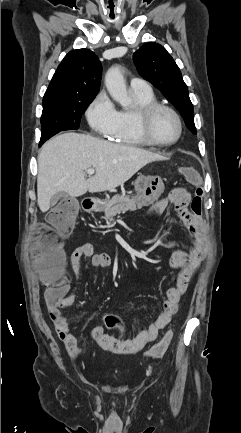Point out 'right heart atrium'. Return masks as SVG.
I'll use <instances>...</instances> for the list:
<instances>
[{
	"mask_svg": "<svg viewBox=\"0 0 241 433\" xmlns=\"http://www.w3.org/2000/svg\"><path fill=\"white\" fill-rule=\"evenodd\" d=\"M86 116L93 130L104 137H111L118 122V110L108 96L99 94L89 105Z\"/></svg>",
	"mask_w": 241,
	"mask_h": 433,
	"instance_id": "obj_1",
	"label": "right heart atrium"
}]
</instances>
